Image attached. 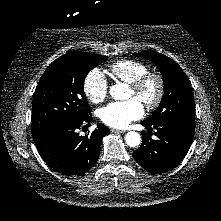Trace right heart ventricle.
Listing matches in <instances>:
<instances>
[{"instance_id":"right-heart-ventricle-1","label":"right heart ventricle","mask_w":221,"mask_h":221,"mask_svg":"<svg viewBox=\"0 0 221 221\" xmlns=\"http://www.w3.org/2000/svg\"><path fill=\"white\" fill-rule=\"evenodd\" d=\"M111 75L122 82L132 83L148 71L145 63L133 59H122L110 65Z\"/></svg>"}]
</instances>
